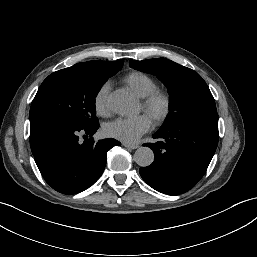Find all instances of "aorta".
I'll return each mask as SVG.
<instances>
[{
	"label": "aorta",
	"mask_w": 257,
	"mask_h": 257,
	"mask_svg": "<svg viewBox=\"0 0 257 257\" xmlns=\"http://www.w3.org/2000/svg\"><path fill=\"white\" fill-rule=\"evenodd\" d=\"M108 105L112 111L120 115H132L137 112V102L126 89H118L108 96ZM135 162L141 167H147L154 161V153L149 147H139L134 154Z\"/></svg>",
	"instance_id": "aorta-1"
}]
</instances>
